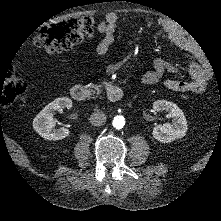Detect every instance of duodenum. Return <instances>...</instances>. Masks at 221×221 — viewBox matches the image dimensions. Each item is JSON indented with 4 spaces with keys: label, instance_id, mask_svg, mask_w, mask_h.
Wrapping results in <instances>:
<instances>
[{
    "label": "duodenum",
    "instance_id": "obj_1",
    "mask_svg": "<svg viewBox=\"0 0 221 221\" xmlns=\"http://www.w3.org/2000/svg\"><path fill=\"white\" fill-rule=\"evenodd\" d=\"M104 87L110 102L116 103L123 98V91L118 85L107 82L104 84ZM70 96L73 100L81 102L88 97V91L83 85H75L70 89Z\"/></svg>",
    "mask_w": 221,
    "mask_h": 221
}]
</instances>
